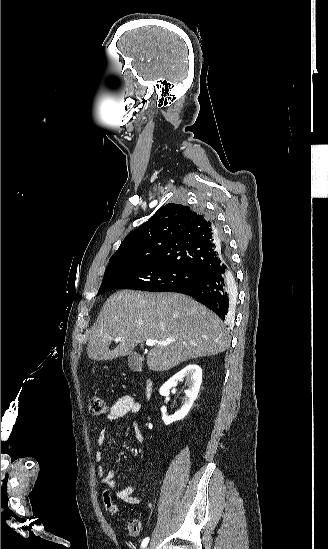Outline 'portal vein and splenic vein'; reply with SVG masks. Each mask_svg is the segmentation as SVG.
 <instances>
[{
	"label": "portal vein and splenic vein",
	"instance_id": "18ae733b",
	"mask_svg": "<svg viewBox=\"0 0 328 549\" xmlns=\"http://www.w3.org/2000/svg\"><path fill=\"white\" fill-rule=\"evenodd\" d=\"M123 337H116L115 341H122ZM175 339H168V341H160V343H157V341H153V339H147L146 345L147 347H153V345H162V347H166V345H170V343H173Z\"/></svg>",
	"mask_w": 328,
	"mask_h": 549
}]
</instances>
